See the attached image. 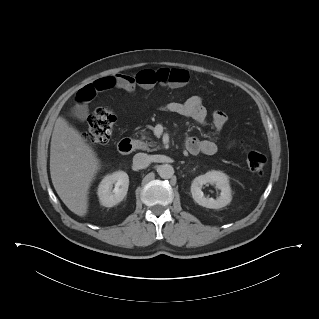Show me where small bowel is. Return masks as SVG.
Masks as SVG:
<instances>
[{
	"mask_svg": "<svg viewBox=\"0 0 319 319\" xmlns=\"http://www.w3.org/2000/svg\"><path fill=\"white\" fill-rule=\"evenodd\" d=\"M187 82L188 73L183 69H146L139 72L136 77L124 74L105 76L80 89L77 98L80 102H87L93 99L96 93L111 88L133 92L137 86L144 89H150L157 84L164 87H179ZM162 109L166 112L192 118L199 123H205L208 119V111L203 105L202 98L198 95H192L183 102H169ZM76 114L80 118L85 117L87 114L86 106L79 105L76 108ZM227 119V115L221 110H216L211 114L212 123L218 132L222 130ZM185 148L191 154L213 155L217 151V144L213 140H200L195 136H190L185 140Z\"/></svg>",
	"mask_w": 319,
	"mask_h": 319,
	"instance_id": "c3829d8e",
	"label": "small bowel"
}]
</instances>
